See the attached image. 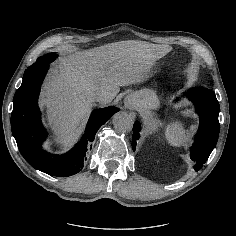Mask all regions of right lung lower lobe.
Masks as SVG:
<instances>
[{
  "mask_svg": "<svg viewBox=\"0 0 236 236\" xmlns=\"http://www.w3.org/2000/svg\"><path fill=\"white\" fill-rule=\"evenodd\" d=\"M49 64L24 73L20 88L13 98L11 114L12 134L25 160L34 168L51 176H70L83 168L88 143L95 138L97 130L118 111L116 107L94 110L88 121L85 134L76 146L64 155L44 151L42 142L47 137L40 120L37 99L40 86Z\"/></svg>",
  "mask_w": 236,
  "mask_h": 236,
  "instance_id": "98d812e1",
  "label": "right lung lower lobe"
}]
</instances>
